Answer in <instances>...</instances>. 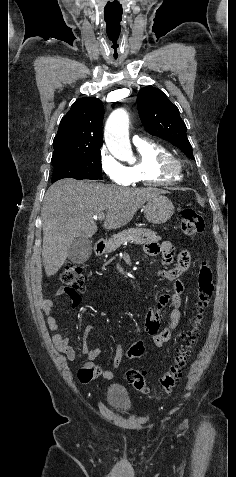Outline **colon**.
I'll return each instance as SVG.
<instances>
[{
  "instance_id": "1",
  "label": "colon",
  "mask_w": 236,
  "mask_h": 477,
  "mask_svg": "<svg viewBox=\"0 0 236 477\" xmlns=\"http://www.w3.org/2000/svg\"><path fill=\"white\" fill-rule=\"evenodd\" d=\"M180 227L186 237H194L200 234L205 227L203 217L193 209H185L181 213ZM187 260V257L184 256ZM61 282L65 292L73 294L81 289L85 284V277L82 268L78 265H67L61 274ZM214 291V283L211 268L204 263L197 277V302L195 314L191 320L188 330L182 333L183 344L176 350L172 363L163 373L160 384L166 394H170L182 377L186 361L191 355L193 346L196 343L202 323L209 307ZM145 353V346L142 342L132 344L127 351L128 359L140 358ZM127 382L136 390L143 394H150V388L146 383L143 372L131 369L126 373Z\"/></svg>"
}]
</instances>
